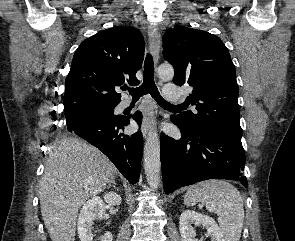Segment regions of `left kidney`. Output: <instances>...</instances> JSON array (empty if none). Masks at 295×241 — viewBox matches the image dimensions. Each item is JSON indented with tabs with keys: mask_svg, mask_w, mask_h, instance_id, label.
<instances>
[{
	"mask_svg": "<svg viewBox=\"0 0 295 241\" xmlns=\"http://www.w3.org/2000/svg\"><path fill=\"white\" fill-rule=\"evenodd\" d=\"M193 224L206 227L207 236L211 237V241H225L219 226L213 218L192 210H185L181 213L179 221L181 241H199L195 239L196 232L192 226Z\"/></svg>",
	"mask_w": 295,
	"mask_h": 241,
	"instance_id": "left-kidney-1",
	"label": "left kidney"
}]
</instances>
